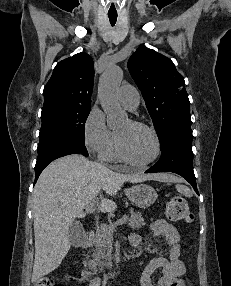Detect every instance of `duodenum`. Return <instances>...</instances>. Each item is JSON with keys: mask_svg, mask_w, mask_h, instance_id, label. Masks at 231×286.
Wrapping results in <instances>:
<instances>
[{"mask_svg": "<svg viewBox=\"0 0 231 286\" xmlns=\"http://www.w3.org/2000/svg\"><path fill=\"white\" fill-rule=\"evenodd\" d=\"M92 239V233L86 232L84 235H82L75 243V246L79 250L86 249L91 242ZM117 273H119V270H111L109 271L106 276L107 278H113ZM82 276L85 280L90 281L92 279V274L87 268H83L82 270Z\"/></svg>", "mask_w": 231, "mask_h": 286, "instance_id": "1", "label": "duodenum"}]
</instances>
